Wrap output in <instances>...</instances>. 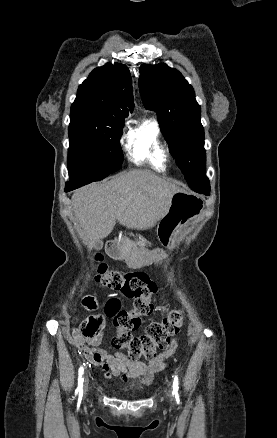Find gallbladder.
Here are the masks:
<instances>
[{
    "label": "gallbladder",
    "mask_w": 277,
    "mask_h": 438,
    "mask_svg": "<svg viewBox=\"0 0 277 438\" xmlns=\"http://www.w3.org/2000/svg\"><path fill=\"white\" fill-rule=\"evenodd\" d=\"M95 248L99 251L101 248H103L102 242H96Z\"/></svg>",
    "instance_id": "gallbladder-1"
}]
</instances>
